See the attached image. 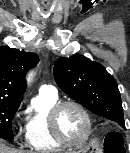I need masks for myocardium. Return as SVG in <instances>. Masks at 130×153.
Segmentation results:
<instances>
[{"label": "myocardium", "mask_w": 130, "mask_h": 153, "mask_svg": "<svg viewBox=\"0 0 130 153\" xmlns=\"http://www.w3.org/2000/svg\"><path fill=\"white\" fill-rule=\"evenodd\" d=\"M65 106H73V107L77 108L82 113V115L84 117V120L86 123V130H85L84 135L78 141H71V140L65 138L59 128L58 117H59L61 110ZM48 125H49V129H50V132H51L53 138L59 144H61L62 146H65V147H79V146L84 145L88 141V139L92 133V120H91L89 112L80 102L75 101V100L58 101L49 111Z\"/></svg>", "instance_id": "1"}]
</instances>
